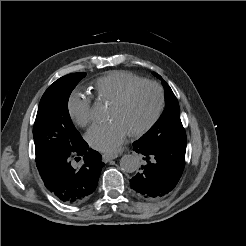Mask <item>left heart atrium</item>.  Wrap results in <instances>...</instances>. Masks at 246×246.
<instances>
[{
	"instance_id": "obj_1",
	"label": "left heart atrium",
	"mask_w": 246,
	"mask_h": 246,
	"mask_svg": "<svg viewBox=\"0 0 246 246\" xmlns=\"http://www.w3.org/2000/svg\"><path fill=\"white\" fill-rule=\"evenodd\" d=\"M128 134L129 130L120 120L111 119L107 123L93 125L86 139L94 149L112 153L119 149Z\"/></svg>"
}]
</instances>
